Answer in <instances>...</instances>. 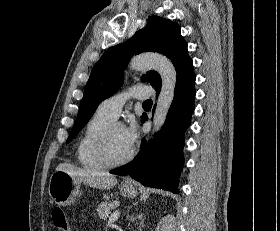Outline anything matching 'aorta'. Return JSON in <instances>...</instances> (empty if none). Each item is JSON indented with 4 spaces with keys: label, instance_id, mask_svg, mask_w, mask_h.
<instances>
[{
    "label": "aorta",
    "instance_id": "obj_1",
    "mask_svg": "<svg viewBox=\"0 0 280 231\" xmlns=\"http://www.w3.org/2000/svg\"><path fill=\"white\" fill-rule=\"evenodd\" d=\"M129 68L130 70H138V72L153 68L161 76V92L153 117V129L154 131H159L165 123L168 110L173 102L177 80L176 70L172 62L165 56H161V54H141V56H136L131 60Z\"/></svg>",
    "mask_w": 280,
    "mask_h": 231
}]
</instances>
